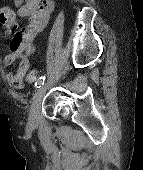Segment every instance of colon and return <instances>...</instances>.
<instances>
[{"instance_id": "1", "label": "colon", "mask_w": 143, "mask_h": 170, "mask_svg": "<svg viewBox=\"0 0 143 170\" xmlns=\"http://www.w3.org/2000/svg\"><path fill=\"white\" fill-rule=\"evenodd\" d=\"M38 73H39V70L38 69H32L29 71L28 75H27V81L29 83H33L37 80V77H38Z\"/></svg>"}]
</instances>
